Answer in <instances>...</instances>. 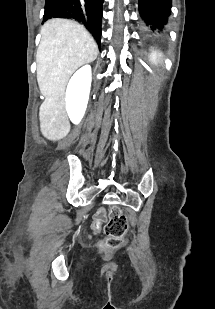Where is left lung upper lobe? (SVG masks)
I'll return each instance as SVG.
<instances>
[{"label":"left lung upper lobe","mask_w":215,"mask_h":309,"mask_svg":"<svg viewBox=\"0 0 215 309\" xmlns=\"http://www.w3.org/2000/svg\"><path fill=\"white\" fill-rule=\"evenodd\" d=\"M143 25L149 32H164L171 13L172 0H138Z\"/></svg>","instance_id":"5c2ea615"}]
</instances>
